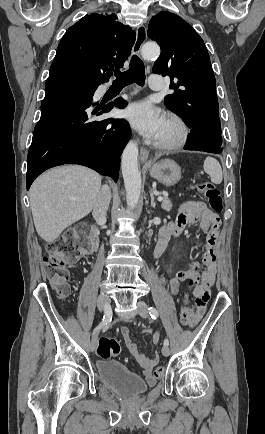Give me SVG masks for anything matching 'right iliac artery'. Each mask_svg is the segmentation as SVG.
I'll use <instances>...</instances> for the list:
<instances>
[{
    "instance_id": "82829eb1",
    "label": "right iliac artery",
    "mask_w": 265,
    "mask_h": 434,
    "mask_svg": "<svg viewBox=\"0 0 265 434\" xmlns=\"http://www.w3.org/2000/svg\"><path fill=\"white\" fill-rule=\"evenodd\" d=\"M104 313L105 314L103 316L102 322L94 329V333L112 319V310L110 306L105 308Z\"/></svg>"
}]
</instances>
